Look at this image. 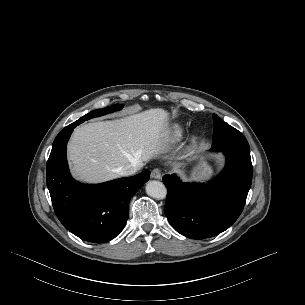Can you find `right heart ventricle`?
Listing matches in <instances>:
<instances>
[{
    "instance_id": "obj_1",
    "label": "right heart ventricle",
    "mask_w": 305,
    "mask_h": 305,
    "mask_svg": "<svg viewBox=\"0 0 305 305\" xmlns=\"http://www.w3.org/2000/svg\"><path fill=\"white\" fill-rule=\"evenodd\" d=\"M183 134V128L179 125L172 126L170 135L173 139H179Z\"/></svg>"
}]
</instances>
